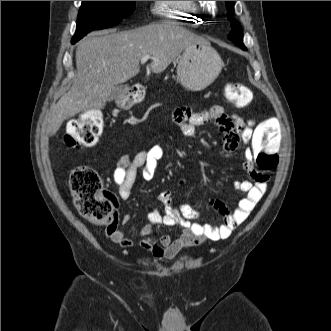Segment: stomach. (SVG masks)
I'll return each mask as SVG.
<instances>
[{"label": "stomach", "instance_id": "0dacf381", "mask_svg": "<svg viewBox=\"0 0 331 331\" xmlns=\"http://www.w3.org/2000/svg\"><path fill=\"white\" fill-rule=\"evenodd\" d=\"M223 61L207 41L187 46L177 66V77L181 85L199 91L210 85L221 72ZM130 102L122 101L120 106L128 108Z\"/></svg>", "mask_w": 331, "mask_h": 331}]
</instances>
